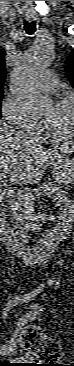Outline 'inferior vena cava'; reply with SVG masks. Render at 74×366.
<instances>
[{"label":"inferior vena cava","instance_id":"602c4592","mask_svg":"<svg viewBox=\"0 0 74 366\" xmlns=\"http://www.w3.org/2000/svg\"><path fill=\"white\" fill-rule=\"evenodd\" d=\"M35 142L39 143V142H38V139H35Z\"/></svg>","mask_w":74,"mask_h":366}]
</instances>
